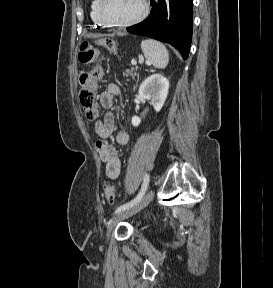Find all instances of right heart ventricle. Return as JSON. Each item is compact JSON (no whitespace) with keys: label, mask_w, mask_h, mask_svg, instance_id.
I'll return each instance as SVG.
<instances>
[{"label":"right heart ventricle","mask_w":273,"mask_h":288,"mask_svg":"<svg viewBox=\"0 0 273 288\" xmlns=\"http://www.w3.org/2000/svg\"><path fill=\"white\" fill-rule=\"evenodd\" d=\"M98 4H99V0H92L91 6H90V16H91L92 21L95 23V25L103 26L104 24L102 23V21L100 20L98 16Z\"/></svg>","instance_id":"1"}]
</instances>
